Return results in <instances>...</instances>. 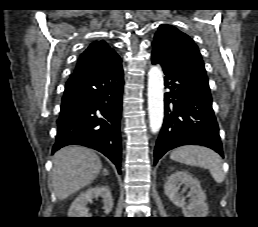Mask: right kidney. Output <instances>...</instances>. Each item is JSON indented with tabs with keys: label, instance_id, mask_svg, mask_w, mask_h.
<instances>
[{
	"label": "right kidney",
	"instance_id": "right-kidney-1",
	"mask_svg": "<svg viewBox=\"0 0 258 227\" xmlns=\"http://www.w3.org/2000/svg\"><path fill=\"white\" fill-rule=\"evenodd\" d=\"M99 197L102 198L104 204L103 209L105 210V213L108 214L113 208V198L110 189L107 186H96L80 193L71 204L68 216L88 217L87 203L92 202L93 199Z\"/></svg>",
	"mask_w": 258,
	"mask_h": 227
}]
</instances>
